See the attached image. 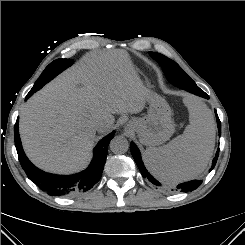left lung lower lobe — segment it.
<instances>
[{
    "label": "left lung lower lobe",
    "instance_id": "obj_1",
    "mask_svg": "<svg viewBox=\"0 0 245 245\" xmlns=\"http://www.w3.org/2000/svg\"><path fill=\"white\" fill-rule=\"evenodd\" d=\"M181 89H184L190 93H193L195 95H198V96H201L203 98H209L208 95L203 91L201 90L198 86H195V87H191L188 85V83L186 82H178L177 85H175ZM215 115H216V120H217V127H218V130H219V136L221 135V122L219 120V117L217 115V111L215 110ZM130 147H131V153H132V156L134 158V161L136 162L137 164V167L139 168V170L141 171V174L144 178H147L150 182H152L154 185L156 186H160L161 184L155 180L150 174L149 172L146 170L143 162H142V158H141V154H140V151L138 149V147L132 142L130 144ZM218 155H219V149L217 150L216 152V155L212 161V169L215 167V164L217 162V159H218ZM201 180H192V181H188V182H185V183H181L177 186V189L176 190H180L182 192H189V191H193L195 190L196 188H198L201 184ZM173 191V189H172Z\"/></svg>",
    "mask_w": 245,
    "mask_h": 245
}]
</instances>
